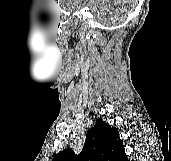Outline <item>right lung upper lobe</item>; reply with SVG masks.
<instances>
[{
	"label": "right lung upper lobe",
	"mask_w": 171,
	"mask_h": 161,
	"mask_svg": "<svg viewBox=\"0 0 171 161\" xmlns=\"http://www.w3.org/2000/svg\"><path fill=\"white\" fill-rule=\"evenodd\" d=\"M52 161H128L119 132L101 119L86 134L79 155L72 149L59 152Z\"/></svg>",
	"instance_id": "right-lung-upper-lobe-1"
}]
</instances>
